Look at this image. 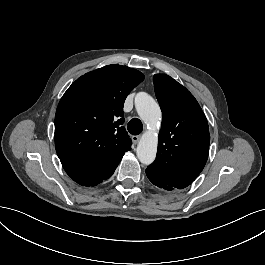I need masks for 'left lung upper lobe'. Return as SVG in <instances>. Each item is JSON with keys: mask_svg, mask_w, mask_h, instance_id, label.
I'll return each instance as SVG.
<instances>
[{"mask_svg": "<svg viewBox=\"0 0 265 265\" xmlns=\"http://www.w3.org/2000/svg\"><path fill=\"white\" fill-rule=\"evenodd\" d=\"M162 111L157 156L146 173L165 184L183 189L203 170L209 154L207 119L194 96L165 74L153 77Z\"/></svg>", "mask_w": 265, "mask_h": 265, "instance_id": "obj_1", "label": "left lung upper lobe"}]
</instances>
